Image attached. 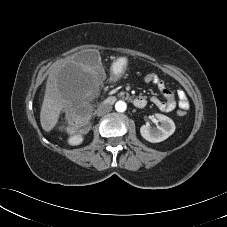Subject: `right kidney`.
<instances>
[{"mask_svg": "<svg viewBox=\"0 0 227 227\" xmlns=\"http://www.w3.org/2000/svg\"><path fill=\"white\" fill-rule=\"evenodd\" d=\"M84 138L82 135H73L69 137L68 144L69 145H79L83 142Z\"/></svg>", "mask_w": 227, "mask_h": 227, "instance_id": "obj_1", "label": "right kidney"}]
</instances>
